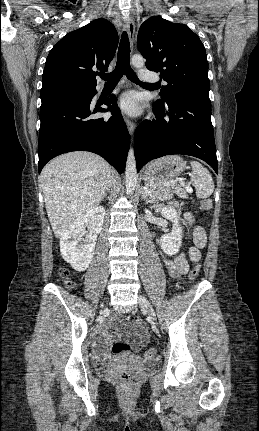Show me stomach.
Segmentation results:
<instances>
[{"label": "stomach", "instance_id": "obj_1", "mask_svg": "<svg viewBox=\"0 0 259 431\" xmlns=\"http://www.w3.org/2000/svg\"><path fill=\"white\" fill-rule=\"evenodd\" d=\"M185 169L186 162L180 156H165L145 167L143 179L146 184L164 183L179 176Z\"/></svg>", "mask_w": 259, "mask_h": 431}]
</instances>
